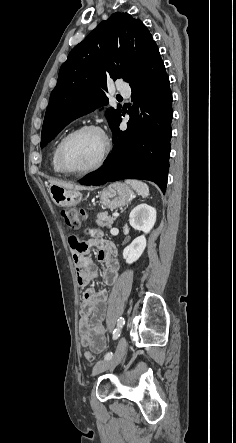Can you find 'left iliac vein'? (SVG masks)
<instances>
[{"mask_svg": "<svg viewBox=\"0 0 236 443\" xmlns=\"http://www.w3.org/2000/svg\"><path fill=\"white\" fill-rule=\"evenodd\" d=\"M125 350H126V339L125 337H121L112 358L97 362L94 365L93 373L99 374L103 371L115 368L123 359Z\"/></svg>", "mask_w": 236, "mask_h": 443, "instance_id": "4c4485c4", "label": "left iliac vein"}]
</instances>
